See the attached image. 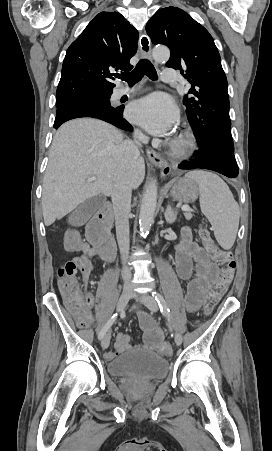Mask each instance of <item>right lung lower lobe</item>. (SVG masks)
Returning <instances> with one entry per match:
<instances>
[{
	"label": "right lung lower lobe",
	"mask_w": 272,
	"mask_h": 451,
	"mask_svg": "<svg viewBox=\"0 0 272 451\" xmlns=\"http://www.w3.org/2000/svg\"><path fill=\"white\" fill-rule=\"evenodd\" d=\"M80 117H91L97 118L112 125L119 127L124 130H132V126L123 118V108L119 107V109L112 113H107L105 111H100L98 109L90 108V107H80L68 110L60 115H57L54 122V127L57 129L64 122L80 118Z\"/></svg>",
	"instance_id": "98d812e1"
}]
</instances>
